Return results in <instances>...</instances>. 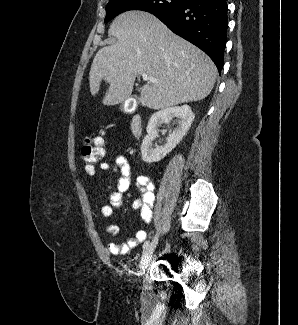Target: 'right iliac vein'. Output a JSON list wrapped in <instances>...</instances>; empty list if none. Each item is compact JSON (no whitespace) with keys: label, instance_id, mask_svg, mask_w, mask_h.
Wrapping results in <instances>:
<instances>
[{"label":"right iliac vein","instance_id":"1","mask_svg":"<svg viewBox=\"0 0 298 325\" xmlns=\"http://www.w3.org/2000/svg\"><path fill=\"white\" fill-rule=\"evenodd\" d=\"M158 234L154 237V239L152 240V242L149 244V246L145 249V251L143 252L142 258H141V263H140V274H143L145 272V269L147 268L153 252L156 248V245L158 243Z\"/></svg>","mask_w":298,"mask_h":325}]
</instances>
